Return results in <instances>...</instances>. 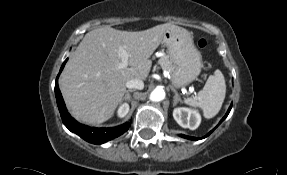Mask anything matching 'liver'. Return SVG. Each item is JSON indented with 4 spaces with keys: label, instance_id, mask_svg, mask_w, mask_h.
Segmentation results:
<instances>
[{
    "label": "liver",
    "instance_id": "1",
    "mask_svg": "<svg viewBox=\"0 0 287 175\" xmlns=\"http://www.w3.org/2000/svg\"><path fill=\"white\" fill-rule=\"evenodd\" d=\"M170 23L144 31L101 27L88 32L71 54L60 79V89L73 117L86 124L111 118L126 93V82L146 80L151 55L163 40ZM129 53L130 67L118 68L119 50Z\"/></svg>",
    "mask_w": 287,
    "mask_h": 175
}]
</instances>
